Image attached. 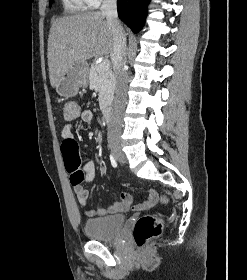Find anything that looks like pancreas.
I'll use <instances>...</instances> for the list:
<instances>
[{"mask_svg":"<svg viewBox=\"0 0 247 280\" xmlns=\"http://www.w3.org/2000/svg\"><path fill=\"white\" fill-rule=\"evenodd\" d=\"M90 88L98 92L100 109H105L112 101L115 79L110 69L101 70L99 65L92 64L89 71Z\"/></svg>","mask_w":247,"mask_h":280,"instance_id":"pancreas-1","label":"pancreas"}]
</instances>
